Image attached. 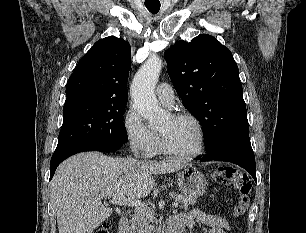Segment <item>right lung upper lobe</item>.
Segmentation results:
<instances>
[{"label":"right lung upper lobe","mask_w":306,"mask_h":233,"mask_svg":"<svg viewBox=\"0 0 306 233\" xmlns=\"http://www.w3.org/2000/svg\"><path fill=\"white\" fill-rule=\"evenodd\" d=\"M131 47L122 38L97 41L81 58L66 85V101L78 99L127 101Z\"/></svg>","instance_id":"right-lung-upper-lobe-1"}]
</instances>
